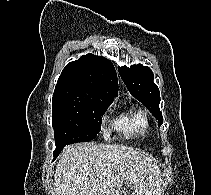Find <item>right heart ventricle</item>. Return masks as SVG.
I'll return each mask as SVG.
<instances>
[{"label":"right heart ventricle","instance_id":"1","mask_svg":"<svg viewBox=\"0 0 211 195\" xmlns=\"http://www.w3.org/2000/svg\"><path fill=\"white\" fill-rule=\"evenodd\" d=\"M150 121L141 109H133L123 113L115 123V129L127 137L142 135L148 131Z\"/></svg>","mask_w":211,"mask_h":195}]
</instances>
